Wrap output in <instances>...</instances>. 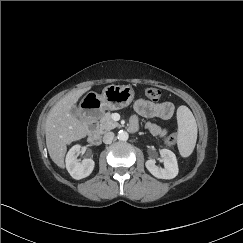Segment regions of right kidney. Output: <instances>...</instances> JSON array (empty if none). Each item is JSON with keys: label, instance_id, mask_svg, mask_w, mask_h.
<instances>
[{"label": "right kidney", "instance_id": "right-kidney-1", "mask_svg": "<svg viewBox=\"0 0 243 243\" xmlns=\"http://www.w3.org/2000/svg\"><path fill=\"white\" fill-rule=\"evenodd\" d=\"M82 150L80 145H74L66 155V168L72 178L76 180L83 179L89 176L95 166L93 159H84L82 162H78L76 155Z\"/></svg>", "mask_w": 243, "mask_h": 243}]
</instances>
